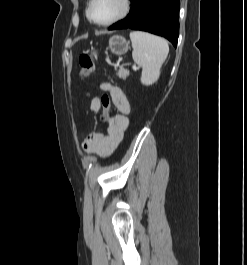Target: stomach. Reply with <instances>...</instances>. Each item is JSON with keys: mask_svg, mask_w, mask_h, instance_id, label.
Here are the masks:
<instances>
[{"mask_svg": "<svg viewBox=\"0 0 247 265\" xmlns=\"http://www.w3.org/2000/svg\"><path fill=\"white\" fill-rule=\"evenodd\" d=\"M129 42L122 36H112L109 39V47L108 49L117 56L124 55L129 50ZM91 56L97 59V52H92Z\"/></svg>", "mask_w": 247, "mask_h": 265, "instance_id": "0dacf381", "label": "stomach"}]
</instances>
